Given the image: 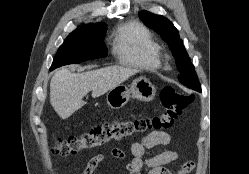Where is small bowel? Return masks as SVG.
I'll return each mask as SVG.
<instances>
[{"instance_id": "c3829d8e", "label": "small bowel", "mask_w": 249, "mask_h": 174, "mask_svg": "<svg viewBox=\"0 0 249 174\" xmlns=\"http://www.w3.org/2000/svg\"><path fill=\"white\" fill-rule=\"evenodd\" d=\"M171 143V137L166 132H152L146 135L140 142H135L130 146L132 161L125 166L127 174H144L147 168V174H172L165 165L176 161L179 154L173 150H167L154 156H148L146 149L155 146H168ZM111 155L117 159L126 158V153L118 148L111 150ZM105 160L103 153L93 156L84 167L82 174H94L98 166ZM194 168L192 161H187L177 174H189ZM79 168H77V171Z\"/></svg>"}]
</instances>
